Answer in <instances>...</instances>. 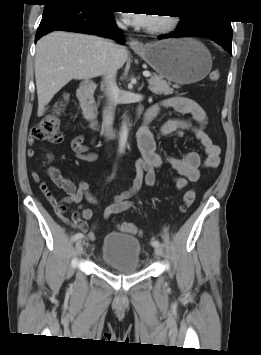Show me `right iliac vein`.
<instances>
[{
	"label": "right iliac vein",
	"mask_w": 261,
	"mask_h": 355,
	"mask_svg": "<svg viewBox=\"0 0 261 355\" xmlns=\"http://www.w3.org/2000/svg\"><path fill=\"white\" fill-rule=\"evenodd\" d=\"M75 248H76L77 254L80 255L83 252V244H82V242L81 241H77Z\"/></svg>",
	"instance_id": "1"
}]
</instances>
